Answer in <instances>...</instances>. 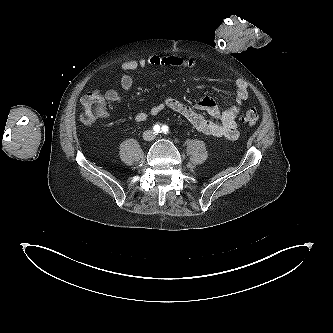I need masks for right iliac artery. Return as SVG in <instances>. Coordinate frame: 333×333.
Segmentation results:
<instances>
[{"label":"right iliac artery","instance_id":"1","mask_svg":"<svg viewBox=\"0 0 333 333\" xmlns=\"http://www.w3.org/2000/svg\"><path fill=\"white\" fill-rule=\"evenodd\" d=\"M153 130L155 131V133H159L160 132V126L159 125H155L153 127Z\"/></svg>","mask_w":333,"mask_h":333}]
</instances>
